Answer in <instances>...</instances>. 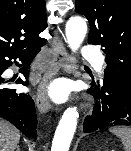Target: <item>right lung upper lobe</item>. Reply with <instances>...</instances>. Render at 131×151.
I'll list each match as a JSON object with an SVG mask.
<instances>
[{
  "label": "right lung upper lobe",
  "instance_id": "obj_1",
  "mask_svg": "<svg viewBox=\"0 0 131 151\" xmlns=\"http://www.w3.org/2000/svg\"><path fill=\"white\" fill-rule=\"evenodd\" d=\"M46 28L45 0H0V54L43 46Z\"/></svg>",
  "mask_w": 131,
  "mask_h": 151
}]
</instances>
